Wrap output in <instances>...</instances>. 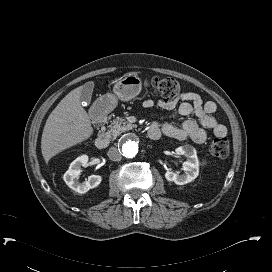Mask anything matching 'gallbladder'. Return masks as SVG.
I'll use <instances>...</instances> for the list:
<instances>
[{"label":"gallbladder","instance_id":"1","mask_svg":"<svg viewBox=\"0 0 272 272\" xmlns=\"http://www.w3.org/2000/svg\"><path fill=\"white\" fill-rule=\"evenodd\" d=\"M94 85L92 82H88L83 86L82 94L80 100L86 104L91 102V96L93 92Z\"/></svg>","mask_w":272,"mask_h":272}]
</instances>
